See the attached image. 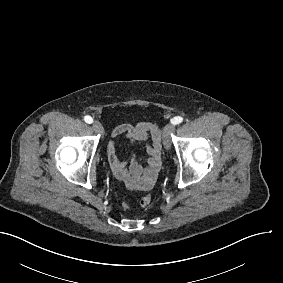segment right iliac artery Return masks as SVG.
<instances>
[{
  "label": "right iliac artery",
  "instance_id": "right-iliac-artery-1",
  "mask_svg": "<svg viewBox=\"0 0 283 283\" xmlns=\"http://www.w3.org/2000/svg\"><path fill=\"white\" fill-rule=\"evenodd\" d=\"M84 120H85V122L88 123V124H91V123L93 122V119H92V117H90V116H85Z\"/></svg>",
  "mask_w": 283,
  "mask_h": 283
}]
</instances>
